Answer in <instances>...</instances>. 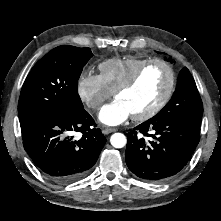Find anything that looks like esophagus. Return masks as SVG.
<instances>
[{
  "mask_svg": "<svg viewBox=\"0 0 221 221\" xmlns=\"http://www.w3.org/2000/svg\"><path fill=\"white\" fill-rule=\"evenodd\" d=\"M115 131H117L116 128H104L102 130L103 134H109V133H112V132H115Z\"/></svg>",
  "mask_w": 221,
  "mask_h": 221,
  "instance_id": "obj_1",
  "label": "esophagus"
}]
</instances>
